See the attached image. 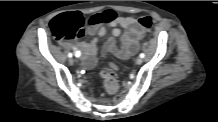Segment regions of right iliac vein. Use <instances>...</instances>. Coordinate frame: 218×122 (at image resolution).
I'll return each instance as SVG.
<instances>
[{"label":"right iliac vein","mask_w":218,"mask_h":122,"mask_svg":"<svg viewBox=\"0 0 218 122\" xmlns=\"http://www.w3.org/2000/svg\"><path fill=\"white\" fill-rule=\"evenodd\" d=\"M69 63H70V64H73V63H74V59H73V58H70V59H69Z\"/></svg>","instance_id":"right-iliac-vein-1"}]
</instances>
